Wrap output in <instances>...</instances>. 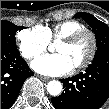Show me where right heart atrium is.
Masks as SVG:
<instances>
[{"instance_id": "right-heart-atrium-1", "label": "right heart atrium", "mask_w": 109, "mask_h": 109, "mask_svg": "<svg viewBox=\"0 0 109 109\" xmlns=\"http://www.w3.org/2000/svg\"><path fill=\"white\" fill-rule=\"evenodd\" d=\"M16 43L25 59H34L48 49L50 41L41 26H37L19 31L16 34Z\"/></svg>"}]
</instances>
